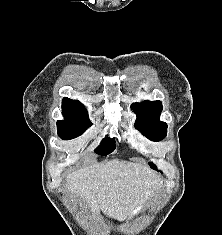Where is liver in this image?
Masks as SVG:
<instances>
[{"label":"liver","instance_id":"6515ba94","mask_svg":"<svg viewBox=\"0 0 222 235\" xmlns=\"http://www.w3.org/2000/svg\"><path fill=\"white\" fill-rule=\"evenodd\" d=\"M161 180L147 167L113 159L71 172L66 187L84 200L93 213L123 221Z\"/></svg>","mask_w":222,"mask_h":235}]
</instances>
